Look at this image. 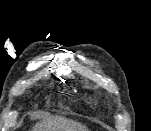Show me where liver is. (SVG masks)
Returning a JSON list of instances; mask_svg holds the SVG:
<instances>
[{"mask_svg":"<svg viewBox=\"0 0 151 131\" xmlns=\"http://www.w3.org/2000/svg\"><path fill=\"white\" fill-rule=\"evenodd\" d=\"M33 131H88V129L79 122L63 117H54L37 124Z\"/></svg>","mask_w":151,"mask_h":131,"instance_id":"liver-1","label":"liver"}]
</instances>
